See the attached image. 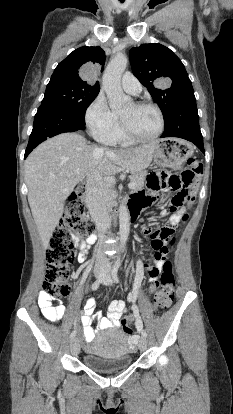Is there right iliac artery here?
Returning <instances> with one entry per match:
<instances>
[{"instance_id": "1", "label": "right iliac artery", "mask_w": 233, "mask_h": 414, "mask_svg": "<svg viewBox=\"0 0 233 414\" xmlns=\"http://www.w3.org/2000/svg\"><path fill=\"white\" fill-rule=\"evenodd\" d=\"M105 275L101 276L100 278H98L93 284H92V290H97L100 286V284L102 283V281L104 280ZM76 335V331L74 330L71 335H70V339H74Z\"/></svg>"}]
</instances>
